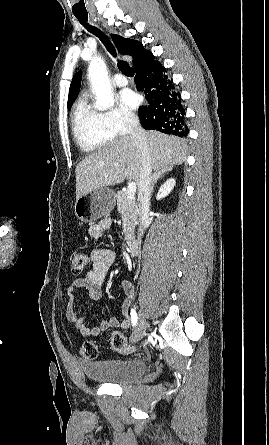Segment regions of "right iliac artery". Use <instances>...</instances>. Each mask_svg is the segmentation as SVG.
<instances>
[{
	"mask_svg": "<svg viewBox=\"0 0 269 445\" xmlns=\"http://www.w3.org/2000/svg\"><path fill=\"white\" fill-rule=\"evenodd\" d=\"M130 314H131L132 325L135 326L137 324V320H138L137 313L134 309H131Z\"/></svg>",
	"mask_w": 269,
	"mask_h": 445,
	"instance_id": "1",
	"label": "right iliac artery"
}]
</instances>
